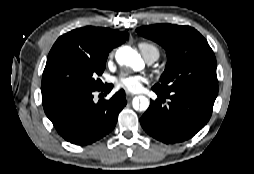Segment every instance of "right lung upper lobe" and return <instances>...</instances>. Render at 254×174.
I'll use <instances>...</instances> for the list:
<instances>
[{"label":"right lung upper lobe","instance_id":"1","mask_svg":"<svg viewBox=\"0 0 254 174\" xmlns=\"http://www.w3.org/2000/svg\"><path fill=\"white\" fill-rule=\"evenodd\" d=\"M128 37L127 32L101 27H83L60 36L51 51L60 47H72L91 57L107 59L109 52L124 43Z\"/></svg>","mask_w":254,"mask_h":174}]
</instances>
